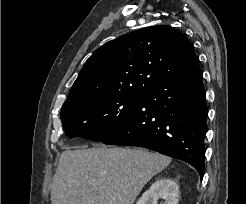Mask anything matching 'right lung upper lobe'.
<instances>
[{
    "mask_svg": "<svg viewBox=\"0 0 246 204\" xmlns=\"http://www.w3.org/2000/svg\"><path fill=\"white\" fill-rule=\"evenodd\" d=\"M196 61L192 44L170 26L133 31L94 51L62 108L102 95L142 94Z\"/></svg>",
    "mask_w": 246,
    "mask_h": 204,
    "instance_id": "cb5924a9",
    "label": "right lung upper lobe"
}]
</instances>
